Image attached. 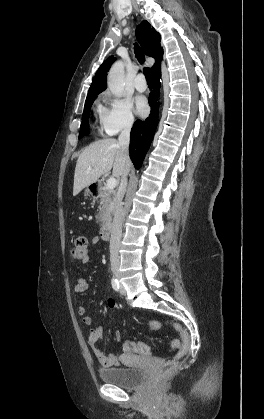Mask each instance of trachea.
<instances>
[{
    "label": "trachea",
    "instance_id": "3493384b",
    "mask_svg": "<svg viewBox=\"0 0 264 419\" xmlns=\"http://www.w3.org/2000/svg\"><path fill=\"white\" fill-rule=\"evenodd\" d=\"M135 55L138 61L140 62V64H143L145 56L138 45L135 46ZM144 75L146 77L147 83L151 85L153 83V80H152V73H151L150 68L148 67L144 68Z\"/></svg>",
    "mask_w": 264,
    "mask_h": 419
}]
</instances>
